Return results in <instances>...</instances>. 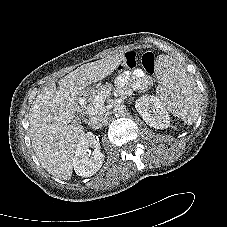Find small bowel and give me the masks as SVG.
Masks as SVG:
<instances>
[{
	"label": "small bowel",
	"mask_w": 227,
	"mask_h": 227,
	"mask_svg": "<svg viewBox=\"0 0 227 227\" xmlns=\"http://www.w3.org/2000/svg\"><path fill=\"white\" fill-rule=\"evenodd\" d=\"M118 82L120 86L130 89H144L151 84V78L146 76L142 70L137 69L132 74L124 73L120 75Z\"/></svg>",
	"instance_id": "c3829d8e"
}]
</instances>
